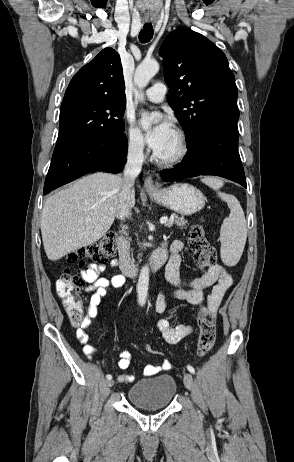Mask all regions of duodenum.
Segmentation results:
<instances>
[{
	"mask_svg": "<svg viewBox=\"0 0 294 462\" xmlns=\"http://www.w3.org/2000/svg\"><path fill=\"white\" fill-rule=\"evenodd\" d=\"M116 244L119 252V261L118 266L120 267L122 273L128 277H132L136 275L137 272V264L131 259L129 255V249L127 244V231L126 229L122 228L119 232V235L116 239ZM167 259V249L165 246H161L157 248L150 260H149V268L151 270H157L161 268Z\"/></svg>",
	"mask_w": 294,
	"mask_h": 462,
	"instance_id": "1",
	"label": "duodenum"
}]
</instances>
